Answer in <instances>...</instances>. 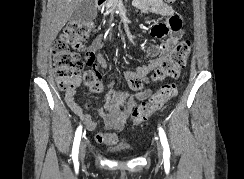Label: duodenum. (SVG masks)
Listing matches in <instances>:
<instances>
[{
    "instance_id": "obj_1",
    "label": "duodenum",
    "mask_w": 244,
    "mask_h": 179,
    "mask_svg": "<svg viewBox=\"0 0 244 179\" xmlns=\"http://www.w3.org/2000/svg\"><path fill=\"white\" fill-rule=\"evenodd\" d=\"M105 3H106V0H99V1H97L96 4H97V6H104Z\"/></svg>"
}]
</instances>
